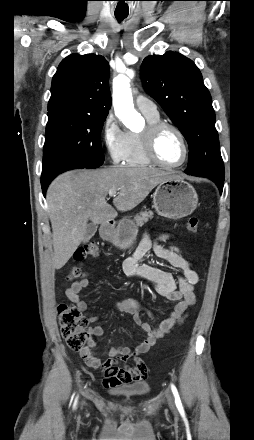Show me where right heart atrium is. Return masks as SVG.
<instances>
[{"label":"right heart atrium","mask_w":254,"mask_h":440,"mask_svg":"<svg viewBox=\"0 0 254 440\" xmlns=\"http://www.w3.org/2000/svg\"><path fill=\"white\" fill-rule=\"evenodd\" d=\"M103 141L113 163L125 161L130 133L123 129L115 116L109 114L102 128Z\"/></svg>","instance_id":"obj_1"}]
</instances>
